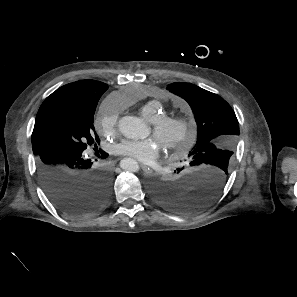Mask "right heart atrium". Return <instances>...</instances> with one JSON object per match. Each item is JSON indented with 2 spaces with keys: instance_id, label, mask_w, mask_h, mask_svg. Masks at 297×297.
<instances>
[{
  "instance_id": "right-heart-atrium-1",
  "label": "right heart atrium",
  "mask_w": 297,
  "mask_h": 297,
  "mask_svg": "<svg viewBox=\"0 0 297 297\" xmlns=\"http://www.w3.org/2000/svg\"><path fill=\"white\" fill-rule=\"evenodd\" d=\"M121 106L115 97H107L103 100L96 121L101 133L105 136L115 134Z\"/></svg>"
}]
</instances>
